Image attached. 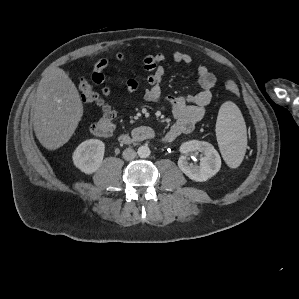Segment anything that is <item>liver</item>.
<instances>
[{
    "mask_svg": "<svg viewBox=\"0 0 299 299\" xmlns=\"http://www.w3.org/2000/svg\"><path fill=\"white\" fill-rule=\"evenodd\" d=\"M83 116L79 92L58 67L48 68L40 80L33 105V125L37 139L48 150L66 144Z\"/></svg>",
    "mask_w": 299,
    "mask_h": 299,
    "instance_id": "1",
    "label": "liver"
}]
</instances>
